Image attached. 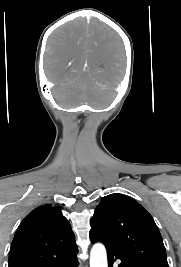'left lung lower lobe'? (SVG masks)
<instances>
[{"label": "left lung lower lobe", "instance_id": "left-lung-lower-lobe-1", "mask_svg": "<svg viewBox=\"0 0 181 267\" xmlns=\"http://www.w3.org/2000/svg\"><path fill=\"white\" fill-rule=\"evenodd\" d=\"M92 242H94V241H92ZM106 249H107L109 267H113V263L117 259L121 260V263L118 265V267H146L143 264H140L136 261H133L131 259L124 257L116 249H114L110 246H106Z\"/></svg>", "mask_w": 181, "mask_h": 267}]
</instances>
